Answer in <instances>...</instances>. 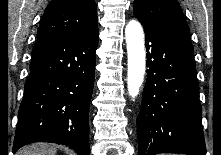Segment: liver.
<instances>
[{
	"instance_id": "liver-1",
	"label": "liver",
	"mask_w": 221,
	"mask_h": 155,
	"mask_svg": "<svg viewBox=\"0 0 221 155\" xmlns=\"http://www.w3.org/2000/svg\"><path fill=\"white\" fill-rule=\"evenodd\" d=\"M57 148L47 143H35L23 147L18 155H55Z\"/></svg>"
}]
</instances>
